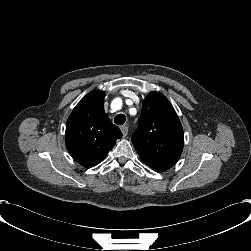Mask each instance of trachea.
<instances>
[{
    "label": "trachea",
    "mask_w": 251,
    "mask_h": 251,
    "mask_svg": "<svg viewBox=\"0 0 251 251\" xmlns=\"http://www.w3.org/2000/svg\"><path fill=\"white\" fill-rule=\"evenodd\" d=\"M126 121V116L124 114H118L114 118V122L117 125H123Z\"/></svg>",
    "instance_id": "3493384b"
}]
</instances>
